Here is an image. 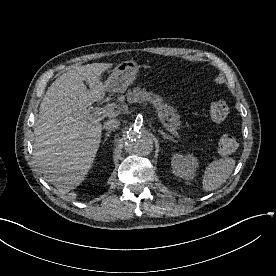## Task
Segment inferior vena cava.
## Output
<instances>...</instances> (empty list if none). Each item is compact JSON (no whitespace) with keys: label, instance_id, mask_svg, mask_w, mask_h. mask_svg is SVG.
I'll use <instances>...</instances> for the list:
<instances>
[{"label":"inferior vena cava","instance_id":"1","mask_svg":"<svg viewBox=\"0 0 276 276\" xmlns=\"http://www.w3.org/2000/svg\"><path fill=\"white\" fill-rule=\"evenodd\" d=\"M120 126V121L117 120V119H110V120H107L104 125H103V128L106 129V130H113V129H116Z\"/></svg>","mask_w":276,"mask_h":276}]
</instances>
